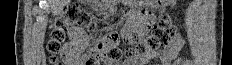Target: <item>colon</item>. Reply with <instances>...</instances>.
Returning <instances> with one entry per match:
<instances>
[{
    "mask_svg": "<svg viewBox=\"0 0 232 65\" xmlns=\"http://www.w3.org/2000/svg\"><path fill=\"white\" fill-rule=\"evenodd\" d=\"M72 28H85L88 32L94 33L96 31V23L84 8L77 4L69 5L54 20L51 27L50 38L47 44L51 64H60L58 55H61L65 59L64 43L66 34ZM175 33L176 29L171 17L167 13H162L151 33L146 37H141L139 43L135 47L127 50L124 54L131 59L156 52L162 46L167 45ZM122 56L123 51L118 47L115 37L96 38L92 47L82 54L85 65H100L109 61L115 62L121 59Z\"/></svg>",
    "mask_w": 232,
    "mask_h": 65,
    "instance_id": "obj_1",
    "label": "colon"
}]
</instances>
